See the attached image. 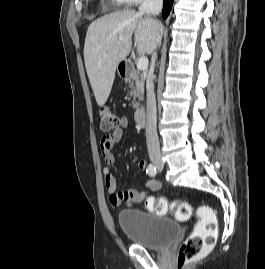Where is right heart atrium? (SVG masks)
<instances>
[{
	"mask_svg": "<svg viewBox=\"0 0 265 269\" xmlns=\"http://www.w3.org/2000/svg\"><path fill=\"white\" fill-rule=\"evenodd\" d=\"M125 4L128 5H132V6H136L141 4L142 2L146 1V0H122Z\"/></svg>",
	"mask_w": 265,
	"mask_h": 269,
	"instance_id": "obj_1",
	"label": "right heart atrium"
}]
</instances>
